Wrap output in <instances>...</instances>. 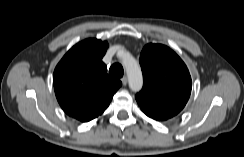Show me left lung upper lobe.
Segmentation results:
<instances>
[{"label":"left lung upper lobe","instance_id":"5c2ea615","mask_svg":"<svg viewBox=\"0 0 244 157\" xmlns=\"http://www.w3.org/2000/svg\"><path fill=\"white\" fill-rule=\"evenodd\" d=\"M140 65L144 84L136 100L142 111L158 121L177 115L186 105L192 88L184 62L169 47L150 43L141 52Z\"/></svg>","mask_w":244,"mask_h":157}]
</instances>
